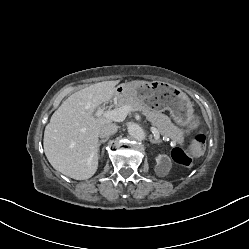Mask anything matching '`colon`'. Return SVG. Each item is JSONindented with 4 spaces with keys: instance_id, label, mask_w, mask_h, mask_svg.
<instances>
[{
    "instance_id": "obj_1",
    "label": "colon",
    "mask_w": 249,
    "mask_h": 249,
    "mask_svg": "<svg viewBox=\"0 0 249 249\" xmlns=\"http://www.w3.org/2000/svg\"><path fill=\"white\" fill-rule=\"evenodd\" d=\"M201 125V121L198 117H194L192 120V124L190 128L187 130V133L190 134L196 129H198ZM206 147V138L203 134H196L192 137L188 144V154L184 152L182 149L176 148L172 151L173 160L183 166H188L191 162V157H200Z\"/></svg>"
}]
</instances>
